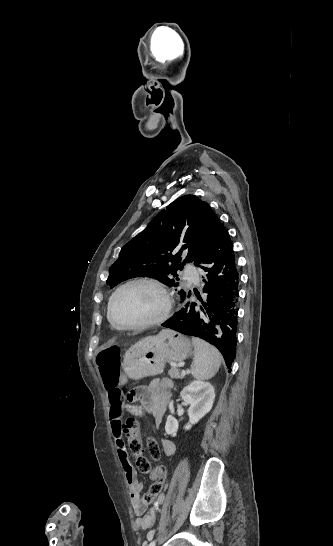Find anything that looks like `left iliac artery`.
I'll list each match as a JSON object with an SVG mask.
<instances>
[{"mask_svg":"<svg viewBox=\"0 0 333 546\" xmlns=\"http://www.w3.org/2000/svg\"><path fill=\"white\" fill-rule=\"evenodd\" d=\"M148 546H155V541H152Z\"/></svg>","mask_w":333,"mask_h":546,"instance_id":"obj_1","label":"left iliac artery"}]
</instances>
